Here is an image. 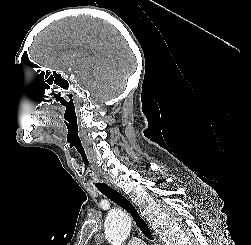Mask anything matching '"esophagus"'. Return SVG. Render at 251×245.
Masks as SVG:
<instances>
[{
  "instance_id": "34e87169",
  "label": "esophagus",
  "mask_w": 251,
  "mask_h": 245,
  "mask_svg": "<svg viewBox=\"0 0 251 245\" xmlns=\"http://www.w3.org/2000/svg\"><path fill=\"white\" fill-rule=\"evenodd\" d=\"M153 236H154V239H155V241H156V244L155 245H158L157 244V237H156V235L153 233Z\"/></svg>"
}]
</instances>
